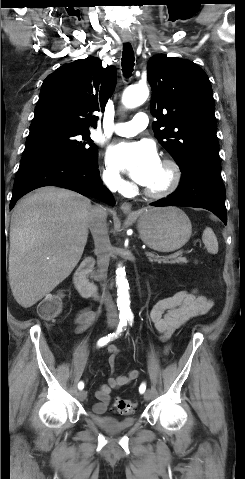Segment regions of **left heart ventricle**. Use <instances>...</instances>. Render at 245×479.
<instances>
[{
    "mask_svg": "<svg viewBox=\"0 0 245 479\" xmlns=\"http://www.w3.org/2000/svg\"><path fill=\"white\" fill-rule=\"evenodd\" d=\"M167 180H168V171L164 166L160 165V168L158 172L156 173L154 179L146 187L151 189H159L166 184Z\"/></svg>",
    "mask_w": 245,
    "mask_h": 479,
    "instance_id": "left-heart-ventricle-1",
    "label": "left heart ventricle"
}]
</instances>
